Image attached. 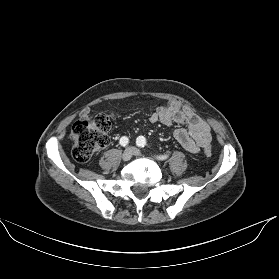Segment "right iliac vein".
<instances>
[{
  "instance_id": "63e3f726",
  "label": "right iliac vein",
  "mask_w": 279,
  "mask_h": 279,
  "mask_svg": "<svg viewBox=\"0 0 279 279\" xmlns=\"http://www.w3.org/2000/svg\"><path fill=\"white\" fill-rule=\"evenodd\" d=\"M133 156V149L132 147H129L125 149V151L122 154V160L123 161H129Z\"/></svg>"
}]
</instances>
